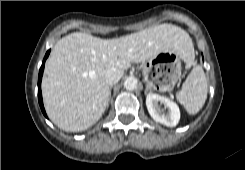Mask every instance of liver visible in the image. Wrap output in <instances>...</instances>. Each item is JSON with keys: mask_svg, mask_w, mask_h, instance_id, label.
Here are the masks:
<instances>
[{"mask_svg": "<svg viewBox=\"0 0 245 170\" xmlns=\"http://www.w3.org/2000/svg\"><path fill=\"white\" fill-rule=\"evenodd\" d=\"M193 60V45L180 27L160 24L114 39L76 32L60 39L45 64L42 94L46 112L60 129L84 131L103 115L109 101L105 73L124 71L161 52ZM191 63V62H190ZM188 63V64H190Z\"/></svg>", "mask_w": 245, "mask_h": 170, "instance_id": "liver-1", "label": "liver"}]
</instances>
